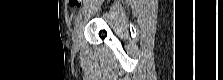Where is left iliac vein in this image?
<instances>
[{"label": "left iliac vein", "instance_id": "4c4485c4", "mask_svg": "<svg viewBox=\"0 0 223 80\" xmlns=\"http://www.w3.org/2000/svg\"><path fill=\"white\" fill-rule=\"evenodd\" d=\"M81 34H82V22H79L72 33L73 45L75 48H78L80 45Z\"/></svg>", "mask_w": 223, "mask_h": 80}]
</instances>
